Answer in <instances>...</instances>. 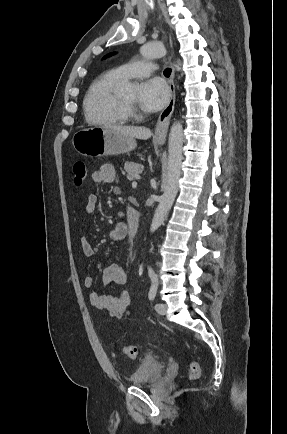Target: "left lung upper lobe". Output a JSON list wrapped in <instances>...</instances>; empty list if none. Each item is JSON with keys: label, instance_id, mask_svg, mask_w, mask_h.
Masks as SVG:
<instances>
[{"label": "left lung upper lobe", "instance_id": "obj_1", "mask_svg": "<svg viewBox=\"0 0 287 434\" xmlns=\"http://www.w3.org/2000/svg\"><path fill=\"white\" fill-rule=\"evenodd\" d=\"M113 54H115V53L108 54L107 56H105V58L108 57V56H111V55H113Z\"/></svg>", "mask_w": 287, "mask_h": 434}]
</instances>
